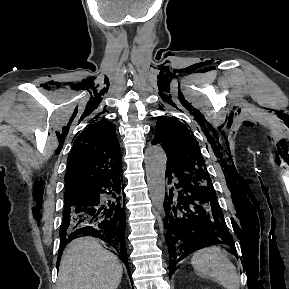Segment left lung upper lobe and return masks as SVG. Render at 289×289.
I'll use <instances>...</instances> for the list:
<instances>
[{
	"label": "left lung upper lobe",
	"instance_id": "1",
	"mask_svg": "<svg viewBox=\"0 0 289 289\" xmlns=\"http://www.w3.org/2000/svg\"><path fill=\"white\" fill-rule=\"evenodd\" d=\"M153 143L162 145L167 155L168 168L212 185L200 154L199 143L184 124L173 118H159Z\"/></svg>",
	"mask_w": 289,
	"mask_h": 289
}]
</instances>
